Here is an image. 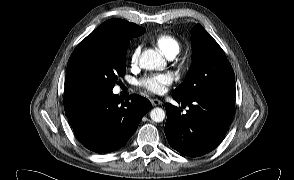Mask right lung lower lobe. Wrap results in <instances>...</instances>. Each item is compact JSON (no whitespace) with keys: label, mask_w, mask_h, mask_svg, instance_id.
I'll return each instance as SVG.
<instances>
[{"label":"right lung lower lobe","mask_w":294,"mask_h":180,"mask_svg":"<svg viewBox=\"0 0 294 180\" xmlns=\"http://www.w3.org/2000/svg\"><path fill=\"white\" fill-rule=\"evenodd\" d=\"M150 108V101L137 94L125 100L112 91L64 96L65 114L76 137L96 153H109L125 145Z\"/></svg>","instance_id":"right-lung-lower-lobe-1"}]
</instances>
